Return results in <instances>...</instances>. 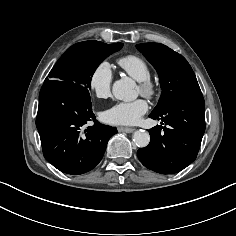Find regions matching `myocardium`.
I'll list each match as a JSON object with an SVG mask.
<instances>
[{
    "label": "myocardium",
    "instance_id": "f54148a6",
    "mask_svg": "<svg viewBox=\"0 0 236 236\" xmlns=\"http://www.w3.org/2000/svg\"><path fill=\"white\" fill-rule=\"evenodd\" d=\"M140 93L147 98H154L158 92V87L155 82L150 79L139 81Z\"/></svg>",
    "mask_w": 236,
    "mask_h": 236
}]
</instances>
